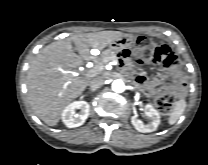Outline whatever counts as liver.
I'll return each instance as SVG.
<instances>
[{
	"mask_svg": "<svg viewBox=\"0 0 208 165\" xmlns=\"http://www.w3.org/2000/svg\"><path fill=\"white\" fill-rule=\"evenodd\" d=\"M124 35L119 31L76 34L43 48L27 74L28 100L34 113L47 125H57L66 105L79 97L90 82L70 70L94 59L91 49L102 50Z\"/></svg>",
	"mask_w": 208,
	"mask_h": 165,
	"instance_id": "obj_1",
	"label": "liver"
}]
</instances>
